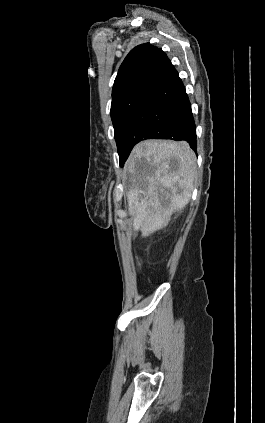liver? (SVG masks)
<instances>
[{
  "label": "liver",
  "mask_w": 265,
  "mask_h": 423,
  "mask_svg": "<svg viewBox=\"0 0 265 423\" xmlns=\"http://www.w3.org/2000/svg\"><path fill=\"white\" fill-rule=\"evenodd\" d=\"M143 163L148 170L142 171ZM125 170L137 178L127 193L133 229L141 230L142 236L147 237L165 228L171 215L189 203L196 156L185 141L146 140L134 147ZM161 187L170 193L161 196Z\"/></svg>",
  "instance_id": "1"
}]
</instances>
